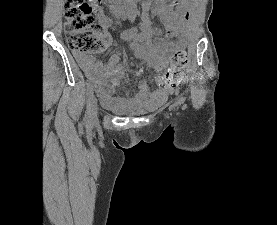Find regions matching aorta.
<instances>
[{
  "instance_id": "762f6f07",
  "label": "aorta",
  "mask_w": 277,
  "mask_h": 225,
  "mask_svg": "<svg viewBox=\"0 0 277 225\" xmlns=\"http://www.w3.org/2000/svg\"><path fill=\"white\" fill-rule=\"evenodd\" d=\"M127 16L134 20L137 16V0H123Z\"/></svg>"
}]
</instances>
